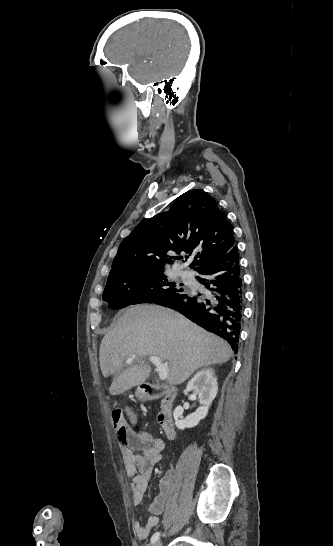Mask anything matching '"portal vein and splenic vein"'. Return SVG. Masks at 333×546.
<instances>
[{
  "mask_svg": "<svg viewBox=\"0 0 333 546\" xmlns=\"http://www.w3.org/2000/svg\"><path fill=\"white\" fill-rule=\"evenodd\" d=\"M134 359H135V356H130L127 358L126 362L132 363ZM148 360L149 362H151L152 364L156 366V369L158 370V373H159V378L161 380H165L168 376V371H169L168 364L162 363L161 359L157 356H150Z\"/></svg>",
  "mask_w": 333,
  "mask_h": 546,
  "instance_id": "1",
  "label": "portal vein and splenic vein"
}]
</instances>
